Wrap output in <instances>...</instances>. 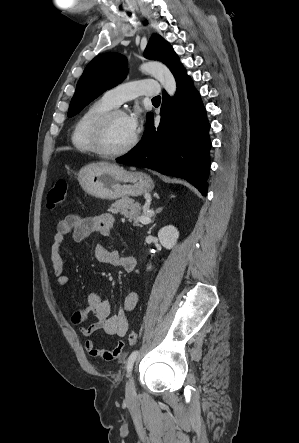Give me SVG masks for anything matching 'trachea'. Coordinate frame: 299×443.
<instances>
[{"label": "trachea", "mask_w": 299, "mask_h": 443, "mask_svg": "<svg viewBox=\"0 0 299 443\" xmlns=\"http://www.w3.org/2000/svg\"><path fill=\"white\" fill-rule=\"evenodd\" d=\"M161 101V97L160 96H156L152 99V102H160Z\"/></svg>", "instance_id": "3493384b"}]
</instances>
